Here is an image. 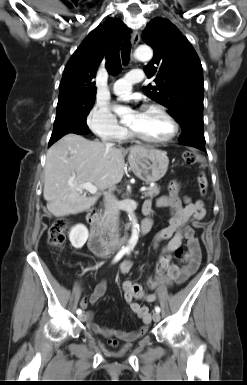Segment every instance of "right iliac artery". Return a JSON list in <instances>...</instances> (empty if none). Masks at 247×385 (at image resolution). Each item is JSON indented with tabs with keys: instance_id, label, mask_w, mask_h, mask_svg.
<instances>
[{
	"instance_id": "obj_1",
	"label": "right iliac artery",
	"mask_w": 247,
	"mask_h": 385,
	"mask_svg": "<svg viewBox=\"0 0 247 385\" xmlns=\"http://www.w3.org/2000/svg\"><path fill=\"white\" fill-rule=\"evenodd\" d=\"M126 252H127L126 250H121L120 252H118V254L115 256L113 262L119 261ZM76 313L78 315H80V314H82V310L81 309H77Z\"/></svg>"
}]
</instances>
